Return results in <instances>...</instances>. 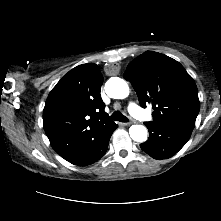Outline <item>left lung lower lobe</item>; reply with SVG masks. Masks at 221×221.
<instances>
[{
	"label": "left lung lower lobe",
	"mask_w": 221,
	"mask_h": 221,
	"mask_svg": "<svg viewBox=\"0 0 221 221\" xmlns=\"http://www.w3.org/2000/svg\"><path fill=\"white\" fill-rule=\"evenodd\" d=\"M149 138L141 149L155 159H167L175 155L189 140L194 126L166 125L154 121L144 123Z\"/></svg>",
	"instance_id": "left-lung-lower-lobe-1"
}]
</instances>
